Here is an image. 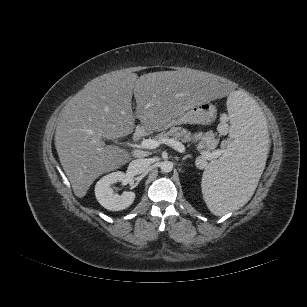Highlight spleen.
Masks as SVG:
<instances>
[{
	"mask_svg": "<svg viewBox=\"0 0 307 307\" xmlns=\"http://www.w3.org/2000/svg\"><path fill=\"white\" fill-rule=\"evenodd\" d=\"M233 142L226 154L210 163L202 176L203 198L216 216L249 201L270 150V135L255 101L242 91L227 98Z\"/></svg>",
	"mask_w": 307,
	"mask_h": 307,
	"instance_id": "1",
	"label": "spleen"
}]
</instances>
